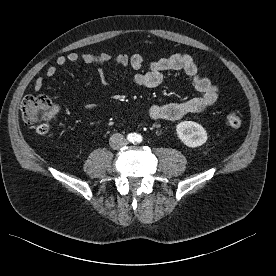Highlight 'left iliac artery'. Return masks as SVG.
I'll return each mask as SVG.
<instances>
[{"instance_id": "left-iliac-artery-1", "label": "left iliac artery", "mask_w": 276, "mask_h": 276, "mask_svg": "<svg viewBox=\"0 0 276 276\" xmlns=\"http://www.w3.org/2000/svg\"><path fill=\"white\" fill-rule=\"evenodd\" d=\"M142 140H143V138H142L141 135L137 134V135L135 136V141H136L137 143L142 142Z\"/></svg>"}]
</instances>
